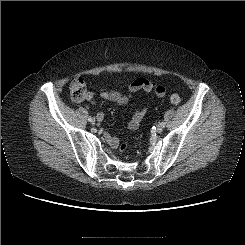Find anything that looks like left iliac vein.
<instances>
[{
    "label": "left iliac vein",
    "instance_id": "obj_1",
    "mask_svg": "<svg viewBox=\"0 0 245 245\" xmlns=\"http://www.w3.org/2000/svg\"><path fill=\"white\" fill-rule=\"evenodd\" d=\"M163 126L161 125V124H159L158 126H157V128H156V131L158 132V133H161L162 131H163Z\"/></svg>",
    "mask_w": 245,
    "mask_h": 245
}]
</instances>
